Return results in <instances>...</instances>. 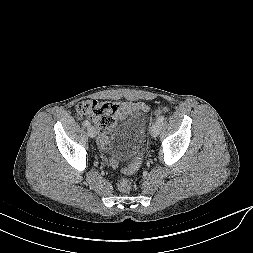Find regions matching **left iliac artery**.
Segmentation results:
<instances>
[{
  "label": "left iliac artery",
  "instance_id": "44dca946",
  "mask_svg": "<svg viewBox=\"0 0 253 253\" xmlns=\"http://www.w3.org/2000/svg\"><path fill=\"white\" fill-rule=\"evenodd\" d=\"M164 120H165L164 116H159L156 121L162 123Z\"/></svg>",
  "mask_w": 253,
  "mask_h": 253
}]
</instances>
